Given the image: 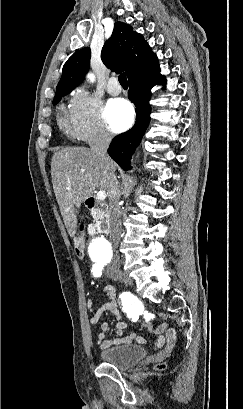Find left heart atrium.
<instances>
[{
	"instance_id": "obj_1",
	"label": "left heart atrium",
	"mask_w": 243,
	"mask_h": 409,
	"mask_svg": "<svg viewBox=\"0 0 243 409\" xmlns=\"http://www.w3.org/2000/svg\"><path fill=\"white\" fill-rule=\"evenodd\" d=\"M103 116L109 128L119 133L128 129L133 123L134 109L125 99H112L106 104Z\"/></svg>"
}]
</instances>
